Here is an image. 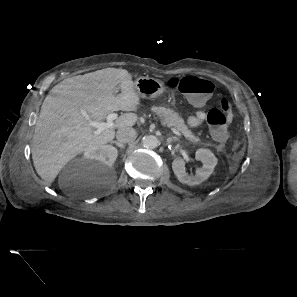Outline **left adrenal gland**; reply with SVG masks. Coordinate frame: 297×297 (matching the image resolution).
<instances>
[{
	"instance_id": "a2214340",
	"label": "left adrenal gland",
	"mask_w": 297,
	"mask_h": 297,
	"mask_svg": "<svg viewBox=\"0 0 297 297\" xmlns=\"http://www.w3.org/2000/svg\"><path fill=\"white\" fill-rule=\"evenodd\" d=\"M180 140L177 137H170L166 140L167 144H171L172 142H179Z\"/></svg>"
}]
</instances>
